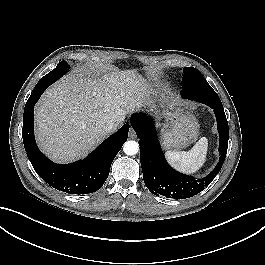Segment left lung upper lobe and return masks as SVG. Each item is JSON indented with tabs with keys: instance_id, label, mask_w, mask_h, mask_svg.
<instances>
[{
	"instance_id": "left-lung-upper-lobe-1",
	"label": "left lung upper lobe",
	"mask_w": 265,
	"mask_h": 265,
	"mask_svg": "<svg viewBox=\"0 0 265 265\" xmlns=\"http://www.w3.org/2000/svg\"><path fill=\"white\" fill-rule=\"evenodd\" d=\"M184 76L182 79L183 89L181 94H185L188 90L197 86H210L202 74L194 67H185L183 69ZM220 101V99H219ZM221 102V101H220Z\"/></svg>"
}]
</instances>
